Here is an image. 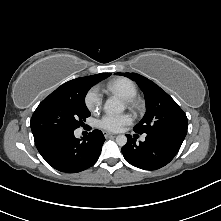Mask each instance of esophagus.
<instances>
[{
	"label": "esophagus",
	"instance_id": "obj_1",
	"mask_svg": "<svg viewBox=\"0 0 221 221\" xmlns=\"http://www.w3.org/2000/svg\"><path fill=\"white\" fill-rule=\"evenodd\" d=\"M104 136H105V138H109V137L115 136V134L110 133V132H104Z\"/></svg>",
	"mask_w": 221,
	"mask_h": 221
}]
</instances>
